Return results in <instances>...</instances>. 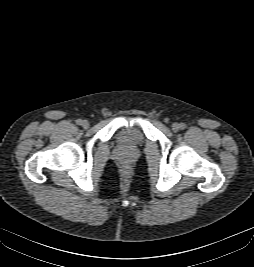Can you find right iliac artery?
I'll return each instance as SVG.
<instances>
[{"mask_svg": "<svg viewBox=\"0 0 254 267\" xmlns=\"http://www.w3.org/2000/svg\"><path fill=\"white\" fill-rule=\"evenodd\" d=\"M76 123H77L78 125H82V120H81V119H77V120H76Z\"/></svg>", "mask_w": 254, "mask_h": 267, "instance_id": "right-iliac-artery-1", "label": "right iliac artery"}]
</instances>
